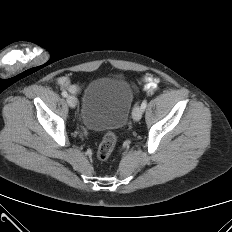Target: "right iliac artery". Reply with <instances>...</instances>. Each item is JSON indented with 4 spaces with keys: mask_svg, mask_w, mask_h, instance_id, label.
I'll use <instances>...</instances> for the list:
<instances>
[{
    "mask_svg": "<svg viewBox=\"0 0 232 232\" xmlns=\"http://www.w3.org/2000/svg\"><path fill=\"white\" fill-rule=\"evenodd\" d=\"M61 94H62L63 97H67L68 96V94H67L66 91H63Z\"/></svg>",
    "mask_w": 232,
    "mask_h": 232,
    "instance_id": "1",
    "label": "right iliac artery"
}]
</instances>
